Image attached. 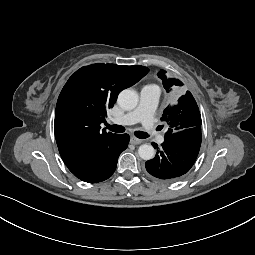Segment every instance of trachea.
Instances as JSON below:
<instances>
[{"label": "trachea", "instance_id": "3493384b", "mask_svg": "<svg viewBox=\"0 0 255 255\" xmlns=\"http://www.w3.org/2000/svg\"><path fill=\"white\" fill-rule=\"evenodd\" d=\"M107 128L110 131H113V132H116V133L125 132V128L121 125H109V124H107ZM134 134L137 138H140V139H145V138L149 137V135L146 132H143V131H135Z\"/></svg>", "mask_w": 255, "mask_h": 255}]
</instances>
